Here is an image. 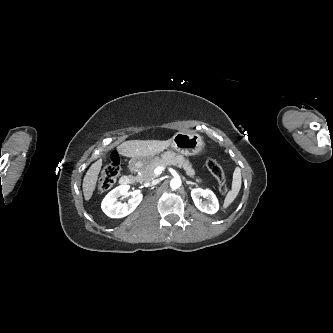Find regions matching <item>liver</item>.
Returning <instances> with one entry per match:
<instances>
[{
	"mask_svg": "<svg viewBox=\"0 0 333 333\" xmlns=\"http://www.w3.org/2000/svg\"><path fill=\"white\" fill-rule=\"evenodd\" d=\"M171 145V140H130L117 147L120 155L129 158H146L154 156ZM102 166V159L93 163L83 179V194L86 201L90 200L96 188L97 179Z\"/></svg>",
	"mask_w": 333,
	"mask_h": 333,
	"instance_id": "obj_1",
	"label": "liver"
}]
</instances>
